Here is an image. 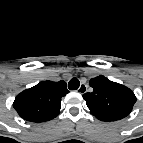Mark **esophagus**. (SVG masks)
Listing matches in <instances>:
<instances>
[{
	"label": "esophagus",
	"mask_w": 143,
	"mask_h": 143,
	"mask_svg": "<svg viewBox=\"0 0 143 143\" xmlns=\"http://www.w3.org/2000/svg\"><path fill=\"white\" fill-rule=\"evenodd\" d=\"M77 91L80 94H84L87 91V85L85 83H81V85L79 86V88L77 89Z\"/></svg>",
	"instance_id": "obj_1"
}]
</instances>
